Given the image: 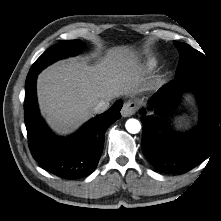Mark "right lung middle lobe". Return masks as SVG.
<instances>
[{
    "instance_id": "dd1d6c3e",
    "label": "right lung middle lobe",
    "mask_w": 221,
    "mask_h": 221,
    "mask_svg": "<svg viewBox=\"0 0 221 221\" xmlns=\"http://www.w3.org/2000/svg\"><path fill=\"white\" fill-rule=\"evenodd\" d=\"M82 48L83 43L80 40L62 41L53 45L36 60L27 77L37 75L42 69L58 59L78 54Z\"/></svg>"
}]
</instances>
